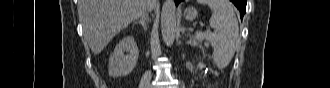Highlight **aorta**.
<instances>
[{
    "label": "aorta",
    "instance_id": "obj_1",
    "mask_svg": "<svg viewBox=\"0 0 330 88\" xmlns=\"http://www.w3.org/2000/svg\"><path fill=\"white\" fill-rule=\"evenodd\" d=\"M161 33L165 44L171 46L176 36V5L174 0H165L162 6Z\"/></svg>",
    "mask_w": 330,
    "mask_h": 88
}]
</instances>
